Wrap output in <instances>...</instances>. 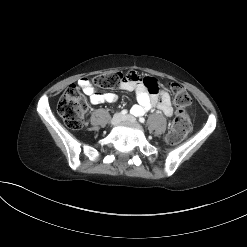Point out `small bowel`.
Segmentation results:
<instances>
[{
    "mask_svg": "<svg viewBox=\"0 0 247 247\" xmlns=\"http://www.w3.org/2000/svg\"><path fill=\"white\" fill-rule=\"evenodd\" d=\"M78 85L94 105L117 100V96L113 93L98 92L86 78H81ZM120 89L135 93L138 104L131 108V112L136 116L145 114L154 106L166 116L173 114L170 94L166 90L158 88V82L155 78H142L131 71L126 73L125 79L120 84Z\"/></svg>",
    "mask_w": 247,
    "mask_h": 247,
    "instance_id": "small-bowel-1",
    "label": "small bowel"
}]
</instances>
